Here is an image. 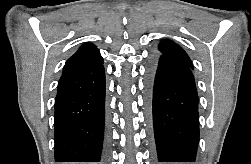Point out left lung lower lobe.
Instances as JSON below:
<instances>
[{
    "mask_svg": "<svg viewBox=\"0 0 251 164\" xmlns=\"http://www.w3.org/2000/svg\"><path fill=\"white\" fill-rule=\"evenodd\" d=\"M192 69L156 55L149 63L146 102L151 146L157 163L196 160L199 115Z\"/></svg>",
    "mask_w": 251,
    "mask_h": 164,
    "instance_id": "1",
    "label": "left lung lower lobe"
}]
</instances>
